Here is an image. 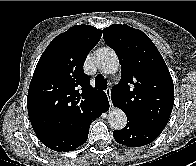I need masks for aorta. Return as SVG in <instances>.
Instances as JSON below:
<instances>
[{
  "mask_svg": "<svg viewBox=\"0 0 196 166\" xmlns=\"http://www.w3.org/2000/svg\"><path fill=\"white\" fill-rule=\"evenodd\" d=\"M96 66L105 73H114L119 69V60L115 51L109 47L101 48L94 55ZM108 122L115 130L123 129L127 124V117L123 110L114 107L108 112Z\"/></svg>",
  "mask_w": 196,
  "mask_h": 166,
  "instance_id": "obj_1",
  "label": "aorta"
}]
</instances>
